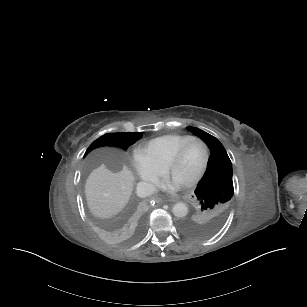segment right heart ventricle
Instances as JSON below:
<instances>
[{
    "mask_svg": "<svg viewBox=\"0 0 307 307\" xmlns=\"http://www.w3.org/2000/svg\"><path fill=\"white\" fill-rule=\"evenodd\" d=\"M191 138L188 134L170 133L154 139L144 140L133 146V153L144 156L150 163L162 166L163 163Z\"/></svg>",
    "mask_w": 307,
    "mask_h": 307,
    "instance_id": "1",
    "label": "right heart ventricle"
}]
</instances>
